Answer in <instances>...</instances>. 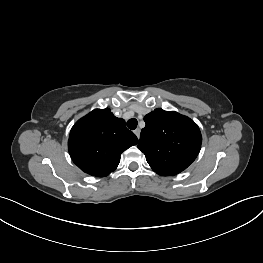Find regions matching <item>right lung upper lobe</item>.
Segmentation results:
<instances>
[{
    "label": "right lung upper lobe",
    "instance_id": "right-lung-upper-lobe-1",
    "mask_svg": "<svg viewBox=\"0 0 263 263\" xmlns=\"http://www.w3.org/2000/svg\"><path fill=\"white\" fill-rule=\"evenodd\" d=\"M137 143L123 119L115 117L109 108L95 109L72 127L68 150L82 171L105 177L117 168L121 153Z\"/></svg>",
    "mask_w": 263,
    "mask_h": 263
}]
</instances>
